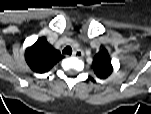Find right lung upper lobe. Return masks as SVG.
I'll use <instances>...</instances> for the list:
<instances>
[{"mask_svg": "<svg viewBox=\"0 0 151 114\" xmlns=\"http://www.w3.org/2000/svg\"><path fill=\"white\" fill-rule=\"evenodd\" d=\"M63 56L50 45L45 37L39 38L25 51V60L31 70L36 73L49 71Z\"/></svg>", "mask_w": 151, "mask_h": 114, "instance_id": "cb5924a9", "label": "right lung upper lobe"}]
</instances>
